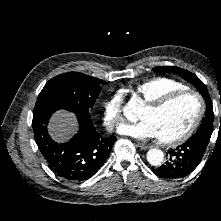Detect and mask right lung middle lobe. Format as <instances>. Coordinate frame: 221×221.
Wrapping results in <instances>:
<instances>
[{
  "instance_id": "dd1d6c3e",
  "label": "right lung middle lobe",
  "mask_w": 221,
  "mask_h": 221,
  "mask_svg": "<svg viewBox=\"0 0 221 221\" xmlns=\"http://www.w3.org/2000/svg\"><path fill=\"white\" fill-rule=\"evenodd\" d=\"M102 84L108 82L78 72L61 74L46 83L36 103H49L90 120L89 109L93 107Z\"/></svg>"
}]
</instances>
